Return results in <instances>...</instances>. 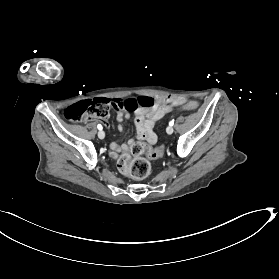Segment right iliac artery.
Instances as JSON below:
<instances>
[{
	"mask_svg": "<svg viewBox=\"0 0 279 279\" xmlns=\"http://www.w3.org/2000/svg\"><path fill=\"white\" fill-rule=\"evenodd\" d=\"M97 127H98V129H99V130H102V129H103V127H102V125H101V124H98V126H97Z\"/></svg>",
	"mask_w": 279,
	"mask_h": 279,
	"instance_id": "obj_1",
	"label": "right iliac artery"
}]
</instances>
